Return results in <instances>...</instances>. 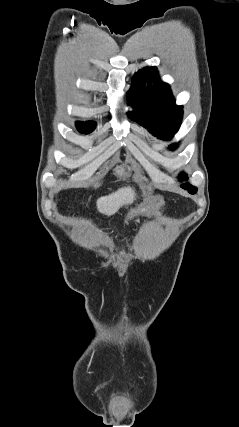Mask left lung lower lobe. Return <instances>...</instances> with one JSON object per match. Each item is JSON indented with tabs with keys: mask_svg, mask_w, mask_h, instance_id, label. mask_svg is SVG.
<instances>
[{
	"mask_svg": "<svg viewBox=\"0 0 239 427\" xmlns=\"http://www.w3.org/2000/svg\"><path fill=\"white\" fill-rule=\"evenodd\" d=\"M190 194H195L196 193V191H192V192H189Z\"/></svg>",
	"mask_w": 239,
	"mask_h": 427,
	"instance_id": "1",
	"label": "left lung lower lobe"
}]
</instances>
